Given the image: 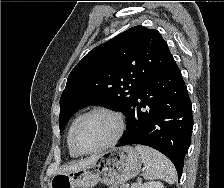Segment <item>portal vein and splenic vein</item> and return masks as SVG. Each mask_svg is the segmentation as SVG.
<instances>
[{
    "label": "portal vein and splenic vein",
    "mask_w": 224,
    "mask_h": 188,
    "mask_svg": "<svg viewBox=\"0 0 224 188\" xmlns=\"http://www.w3.org/2000/svg\"><path fill=\"white\" fill-rule=\"evenodd\" d=\"M127 188H130V186H129V185H127ZM131 188H135V186H134V185H132V186H131Z\"/></svg>",
    "instance_id": "18ae733b"
}]
</instances>
